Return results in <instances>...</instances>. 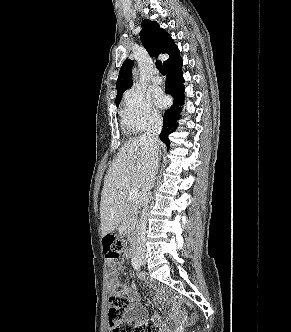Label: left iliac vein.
<instances>
[{
    "instance_id": "1",
    "label": "left iliac vein",
    "mask_w": 291,
    "mask_h": 332,
    "mask_svg": "<svg viewBox=\"0 0 291 332\" xmlns=\"http://www.w3.org/2000/svg\"><path fill=\"white\" fill-rule=\"evenodd\" d=\"M146 261L144 259H140V264L145 265Z\"/></svg>"
}]
</instances>
